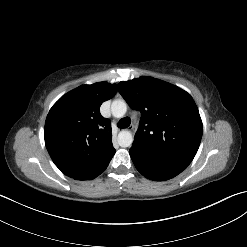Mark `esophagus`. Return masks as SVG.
I'll use <instances>...</instances> for the list:
<instances>
[{"instance_id": "1", "label": "esophagus", "mask_w": 247, "mask_h": 247, "mask_svg": "<svg viewBox=\"0 0 247 247\" xmlns=\"http://www.w3.org/2000/svg\"><path fill=\"white\" fill-rule=\"evenodd\" d=\"M133 128H134V125L133 124H131L130 126H129V130H133Z\"/></svg>"}]
</instances>
